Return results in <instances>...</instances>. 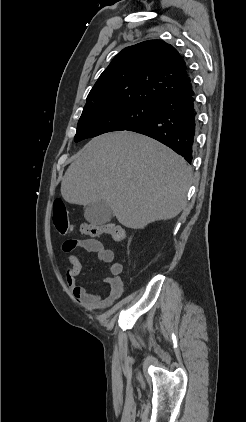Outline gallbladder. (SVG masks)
I'll use <instances>...</instances> for the list:
<instances>
[{"instance_id":"gallbladder-1","label":"gallbladder","mask_w":246,"mask_h":422,"mask_svg":"<svg viewBox=\"0 0 246 422\" xmlns=\"http://www.w3.org/2000/svg\"><path fill=\"white\" fill-rule=\"evenodd\" d=\"M84 217L91 224L102 225L112 219L113 212L105 201L99 200L86 206Z\"/></svg>"}]
</instances>
